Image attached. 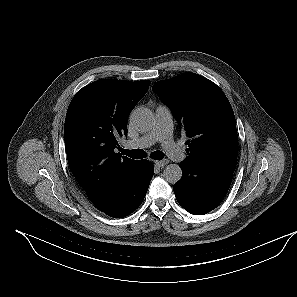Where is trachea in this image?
Wrapping results in <instances>:
<instances>
[{
  "label": "trachea",
  "instance_id": "obj_1",
  "mask_svg": "<svg viewBox=\"0 0 297 297\" xmlns=\"http://www.w3.org/2000/svg\"><path fill=\"white\" fill-rule=\"evenodd\" d=\"M120 151L122 152V154L134 159H142L146 157V152L142 149L127 150L120 148ZM150 157L154 160H162L164 157V153L161 151H154L151 153Z\"/></svg>",
  "mask_w": 297,
  "mask_h": 297
}]
</instances>
